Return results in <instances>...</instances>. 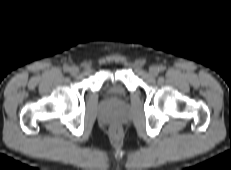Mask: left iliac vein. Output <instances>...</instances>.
I'll use <instances>...</instances> for the list:
<instances>
[{
    "mask_svg": "<svg viewBox=\"0 0 231 170\" xmlns=\"http://www.w3.org/2000/svg\"><path fill=\"white\" fill-rule=\"evenodd\" d=\"M158 73H159V69H158L157 66H151L149 68V74H150V76L155 77V76L158 75Z\"/></svg>",
    "mask_w": 231,
    "mask_h": 170,
    "instance_id": "obj_1",
    "label": "left iliac vein"
}]
</instances>
